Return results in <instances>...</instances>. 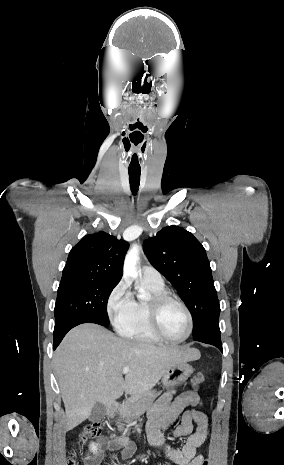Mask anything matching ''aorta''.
Returning a JSON list of instances; mask_svg holds the SVG:
<instances>
[{"instance_id": "obj_1", "label": "aorta", "mask_w": 284, "mask_h": 465, "mask_svg": "<svg viewBox=\"0 0 284 465\" xmlns=\"http://www.w3.org/2000/svg\"><path fill=\"white\" fill-rule=\"evenodd\" d=\"M139 261V246L133 245L128 251L125 261L123 273L125 278H136L138 276L137 263ZM140 297L144 296V290L139 289Z\"/></svg>"}]
</instances>
